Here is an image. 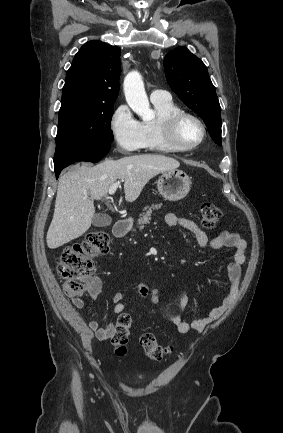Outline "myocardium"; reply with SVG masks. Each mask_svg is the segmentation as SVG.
<instances>
[{"instance_id": "myocardium-1", "label": "myocardium", "mask_w": 283, "mask_h": 433, "mask_svg": "<svg viewBox=\"0 0 283 433\" xmlns=\"http://www.w3.org/2000/svg\"><path fill=\"white\" fill-rule=\"evenodd\" d=\"M185 119H192L201 129V137L190 145L181 144L177 138L178 128ZM207 133V126L203 120L196 114L185 110H180L170 115L164 128L165 141L174 151L177 152H189L195 150L205 141Z\"/></svg>"}]
</instances>
